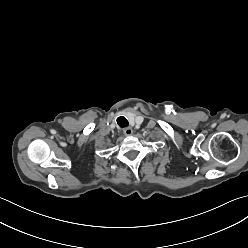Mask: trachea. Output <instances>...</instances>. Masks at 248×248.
<instances>
[{"instance_id":"trachea-1","label":"trachea","mask_w":248,"mask_h":248,"mask_svg":"<svg viewBox=\"0 0 248 248\" xmlns=\"http://www.w3.org/2000/svg\"><path fill=\"white\" fill-rule=\"evenodd\" d=\"M117 123L119 124L120 127H127L128 126V121L125 117H118L117 118Z\"/></svg>"}]
</instances>
